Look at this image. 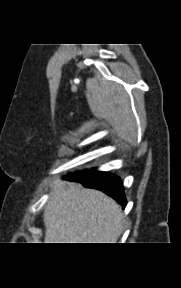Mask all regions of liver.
<instances>
[{"label": "liver", "mask_w": 181, "mask_h": 288, "mask_svg": "<svg viewBox=\"0 0 181 288\" xmlns=\"http://www.w3.org/2000/svg\"><path fill=\"white\" fill-rule=\"evenodd\" d=\"M43 221L45 243H116L123 231L121 207L81 184L55 180Z\"/></svg>", "instance_id": "liver-1"}]
</instances>
